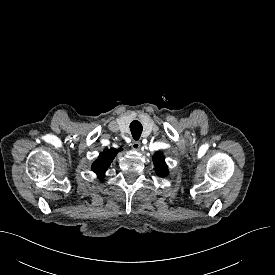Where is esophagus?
Instances as JSON below:
<instances>
[{"label":"esophagus","mask_w":275,"mask_h":275,"mask_svg":"<svg viewBox=\"0 0 275 275\" xmlns=\"http://www.w3.org/2000/svg\"><path fill=\"white\" fill-rule=\"evenodd\" d=\"M131 146L134 150H139L140 146H141V143L139 141H133L131 143Z\"/></svg>","instance_id":"esophagus-1"}]
</instances>
